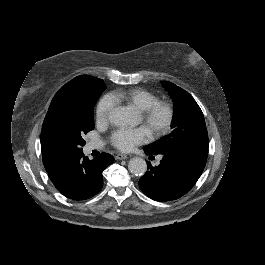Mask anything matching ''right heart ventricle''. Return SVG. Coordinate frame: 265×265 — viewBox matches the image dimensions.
<instances>
[{
  "instance_id": "1",
  "label": "right heart ventricle",
  "mask_w": 265,
  "mask_h": 265,
  "mask_svg": "<svg viewBox=\"0 0 265 265\" xmlns=\"http://www.w3.org/2000/svg\"><path fill=\"white\" fill-rule=\"evenodd\" d=\"M115 104L132 107L137 112H142L158 101L150 91L143 88H120L110 93Z\"/></svg>"
}]
</instances>
